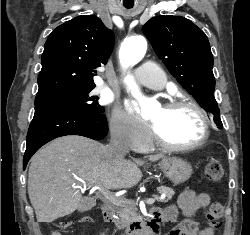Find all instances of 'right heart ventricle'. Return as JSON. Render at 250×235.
I'll list each match as a JSON object with an SVG mask.
<instances>
[{
	"instance_id": "right-heart-ventricle-1",
	"label": "right heart ventricle",
	"mask_w": 250,
	"mask_h": 235,
	"mask_svg": "<svg viewBox=\"0 0 250 235\" xmlns=\"http://www.w3.org/2000/svg\"><path fill=\"white\" fill-rule=\"evenodd\" d=\"M152 147V143L151 141L146 145V147L144 149H150Z\"/></svg>"
}]
</instances>
